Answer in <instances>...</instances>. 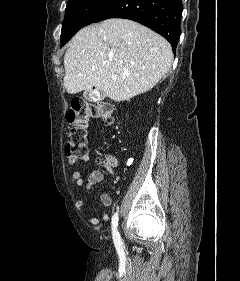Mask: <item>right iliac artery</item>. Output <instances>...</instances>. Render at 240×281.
I'll return each mask as SVG.
<instances>
[{
    "mask_svg": "<svg viewBox=\"0 0 240 281\" xmlns=\"http://www.w3.org/2000/svg\"><path fill=\"white\" fill-rule=\"evenodd\" d=\"M117 226H118V213H114L113 217H112V235H113V240H114V244L116 246V249L118 250V252L122 251V241L120 238V235L117 231Z\"/></svg>",
    "mask_w": 240,
    "mask_h": 281,
    "instance_id": "1",
    "label": "right iliac artery"
}]
</instances>
